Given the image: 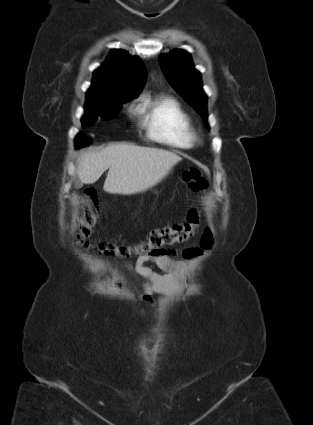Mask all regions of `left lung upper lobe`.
Here are the masks:
<instances>
[{"label":"left lung upper lobe","mask_w":313,"mask_h":425,"mask_svg":"<svg viewBox=\"0 0 313 425\" xmlns=\"http://www.w3.org/2000/svg\"><path fill=\"white\" fill-rule=\"evenodd\" d=\"M162 71L171 86L201 115L207 123V96L203 92L201 74L188 52L173 50L159 56Z\"/></svg>","instance_id":"left-lung-upper-lobe-1"}]
</instances>
